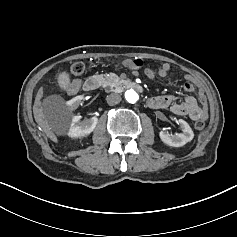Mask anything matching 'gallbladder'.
<instances>
[{
	"mask_svg": "<svg viewBox=\"0 0 237 237\" xmlns=\"http://www.w3.org/2000/svg\"><path fill=\"white\" fill-rule=\"evenodd\" d=\"M55 78V87L57 91L61 94L68 93L73 82V77L70 71L66 68H60L56 71Z\"/></svg>",
	"mask_w": 237,
	"mask_h": 237,
	"instance_id": "obj_1",
	"label": "gallbladder"
}]
</instances>
